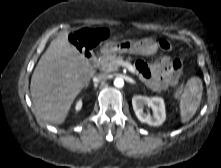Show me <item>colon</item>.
<instances>
[{
	"mask_svg": "<svg viewBox=\"0 0 221 168\" xmlns=\"http://www.w3.org/2000/svg\"><path fill=\"white\" fill-rule=\"evenodd\" d=\"M107 35L108 33L105 29H82L72 34L71 41L80 49L88 50L100 41L104 40ZM160 47L165 51H169L172 48V45L167 40H161ZM185 85L186 76H181V84L177 87L173 94L175 98L178 99L181 97V93H183L185 90Z\"/></svg>",
	"mask_w": 221,
	"mask_h": 168,
	"instance_id": "1",
	"label": "colon"
}]
</instances>
